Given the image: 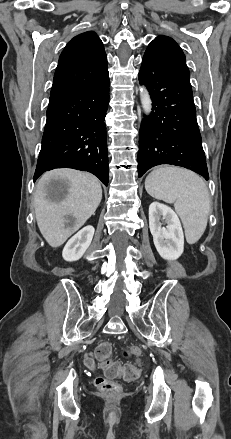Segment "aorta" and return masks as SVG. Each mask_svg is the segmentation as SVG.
Returning <instances> with one entry per match:
<instances>
[{"instance_id":"obj_1","label":"aorta","mask_w":231,"mask_h":439,"mask_svg":"<svg viewBox=\"0 0 231 439\" xmlns=\"http://www.w3.org/2000/svg\"><path fill=\"white\" fill-rule=\"evenodd\" d=\"M140 99L144 113L149 115L152 111V100L145 86L140 88Z\"/></svg>"}]
</instances>
